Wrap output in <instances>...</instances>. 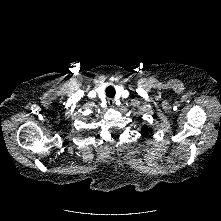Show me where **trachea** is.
Masks as SVG:
<instances>
[{
    "mask_svg": "<svg viewBox=\"0 0 221 221\" xmlns=\"http://www.w3.org/2000/svg\"><path fill=\"white\" fill-rule=\"evenodd\" d=\"M105 92H106V96L109 97V98L114 97V96H115V93H116L114 87H112V86H108V87L106 88V91H105Z\"/></svg>",
    "mask_w": 221,
    "mask_h": 221,
    "instance_id": "3493384b",
    "label": "trachea"
}]
</instances>
